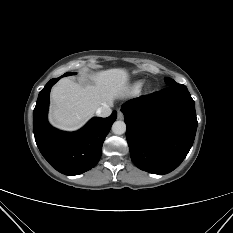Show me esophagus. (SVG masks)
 Listing matches in <instances>:
<instances>
[{
  "label": "esophagus",
  "instance_id": "1",
  "mask_svg": "<svg viewBox=\"0 0 233 233\" xmlns=\"http://www.w3.org/2000/svg\"><path fill=\"white\" fill-rule=\"evenodd\" d=\"M117 118L119 120H122L124 118L123 113H122V111L120 109L117 111Z\"/></svg>",
  "mask_w": 233,
  "mask_h": 233
}]
</instances>
